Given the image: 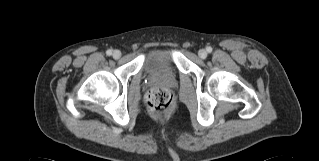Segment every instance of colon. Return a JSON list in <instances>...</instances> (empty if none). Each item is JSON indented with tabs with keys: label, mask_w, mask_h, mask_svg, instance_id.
<instances>
[{
	"label": "colon",
	"mask_w": 319,
	"mask_h": 161,
	"mask_svg": "<svg viewBox=\"0 0 319 161\" xmlns=\"http://www.w3.org/2000/svg\"><path fill=\"white\" fill-rule=\"evenodd\" d=\"M145 103L149 112L157 116L170 113L174 109L172 93L165 87L150 89L145 95Z\"/></svg>",
	"instance_id": "5ec220e1"
}]
</instances>
